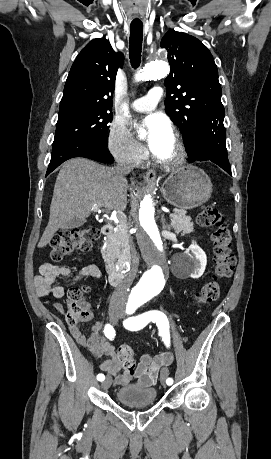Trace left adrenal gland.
<instances>
[{
	"instance_id": "1",
	"label": "left adrenal gland",
	"mask_w": 271,
	"mask_h": 459,
	"mask_svg": "<svg viewBox=\"0 0 271 459\" xmlns=\"http://www.w3.org/2000/svg\"><path fill=\"white\" fill-rule=\"evenodd\" d=\"M161 222L163 224V229H172L173 226H170V224H166L165 216L162 214L161 216Z\"/></svg>"
}]
</instances>
